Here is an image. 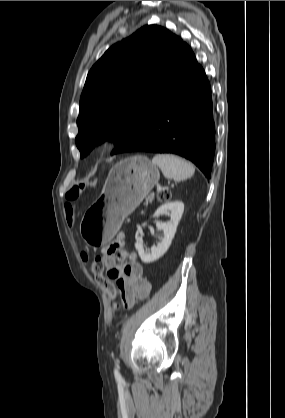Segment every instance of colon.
Segmentation results:
<instances>
[{
  "instance_id": "colon-1",
  "label": "colon",
  "mask_w": 285,
  "mask_h": 418,
  "mask_svg": "<svg viewBox=\"0 0 285 418\" xmlns=\"http://www.w3.org/2000/svg\"><path fill=\"white\" fill-rule=\"evenodd\" d=\"M160 197L161 199H167L169 197V194L167 192H162L160 194ZM75 198H76V195L71 194L70 200H74ZM66 217H67V222L69 226H72L74 224L75 215H74L71 202L66 204ZM120 246L121 245L117 243V247L120 248ZM82 260L84 263L90 264V268L96 275L98 283L102 286V288L106 291L108 295V298L110 300V306L114 308V299L116 296V289H115V285L113 283L112 278L104 275L105 267H104L103 260L100 257H96L93 260H90L86 254H82ZM131 304L132 302L126 303L127 306Z\"/></svg>"
}]
</instances>
